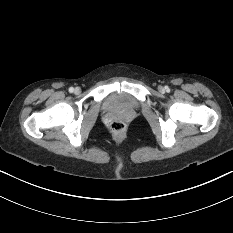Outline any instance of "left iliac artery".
<instances>
[{"label": "left iliac artery", "mask_w": 233, "mask_h": 233, "mask_svg": "<svg viewBox=\"0 0 233 233\" xmlns=\"http://www.w3.org/2000/svg\"><path fill=\"white\" fill-rule=\"evenodd\" d=\"M165 89H166V91H169V87L168 86H166Z\"/></svg>", "instance_id": "44dca946"}]
</instances>
